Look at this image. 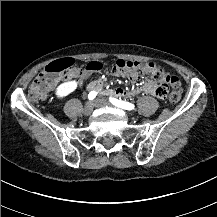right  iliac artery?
<instances>
[{"label": "right iliac artery", "mask_w": 217, "mask_h": 217, "mask_svg": "<svg viewBox=\"0 0 217 217\" xmlns=\"http://www.w3.org/2000/svg\"><path fill=\"white\" fill-rule=\"evenodd\" d=\"M97 95V92L96 91H91L89 94H88V99L89 100H93Z\"/></svg>", "instance_id": "1"}]
</instances>
